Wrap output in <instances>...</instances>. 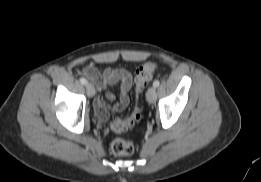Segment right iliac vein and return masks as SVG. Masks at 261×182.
I'll return each mask as SVG.
<instances>
[{
  "label": "right iliac vein",
  "mask_w": 261,
  "mask_h": 182,
  "mask_svg": "<svg viewBox=\"0 0 261 182\" xmlns=\"http://www.w3.org/2000/svg\"><path fill=\"white\" fill-rule=\"evenodd\" d=\"M86 91L89 97H93L96 93L95 88L91 83L86 84Z\"/></svg>",
  "instance_id": "63e3f726"
}]
</instances>
